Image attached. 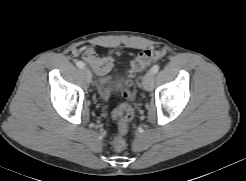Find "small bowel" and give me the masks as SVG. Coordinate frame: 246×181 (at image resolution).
I'll list each match as a JSON object with an SVG mask.
<instances>
[{"instance_id":"small-bowel-1","label":"small bowel","mask_w":246,"mask_h":181,"mask_svg":"<svg viewBox=\"0 0 246 181\" xmlns=\"http://www.w3.org/2000/svg\"><path fill=\"white\" fill-rule=\"evenodd\" d=\"M79 56L91 66L94 73L99 77V86L105 87L115 70L114 59L111 56L99 55L93 48L85 50Z\"/></svg>"}]
</instances>
